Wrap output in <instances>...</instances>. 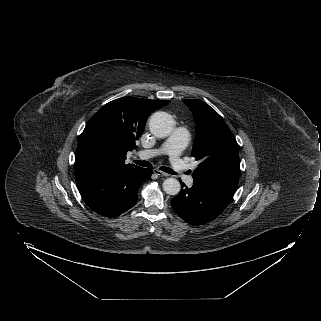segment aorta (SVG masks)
Wrapping results in <instances>:
<instances>
[{
  "label": "aorta",
  "instance_id": "762f6f07",
  "mask_svg": "<svg viewBox=\"0 0 321 321\" xmlns=\"http://www.w3.org/2000/svg\"><path fill=\"white\" fill-rule=\"evenodd\" d=\"M173 119L166 112H156L149 120L151 133L158 138L168 137L173 130ZM163 190L169 195H177L181 189L180 182L175 178H167L163 182Z\"/></svg>",
  "mask_w": 321,
  "mask_h": 321
}]
</instances>
